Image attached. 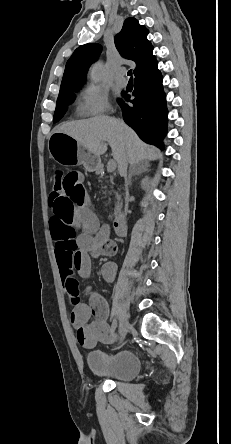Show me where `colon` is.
Segmentation results:
<instances>
[{
	"mask_svg": "<svg viewBox=\"0 0 231 444\" xmlns=\"http://www.w3.org/2000/svg\"><path fill=\"white\" fill-rule=\"evenodd\" d=\"M65 173L62 169H55L52 176V192L51 197L54 199L63 198L66 194L64 185Z\"/></svg>",
	"mask_w": 231,
	"mask_h": 444,
	"instance_id": "colon-1",
	"label": "colon"
}]
</instances>
